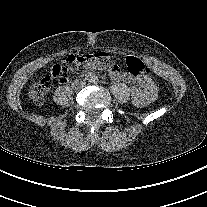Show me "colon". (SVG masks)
I'll use <instances>...</instances> for the list:
<instances>
[{
	"label": "colon",
	"mask_w": 207,
	"mask_h": 207,
	"mask_svg": "<svg viewBox=\"0 0 207 207\" xmlns=\"http://www.w3.org/2000/svg\"><path fill=\"white\" fill-rule=\"evenodd\" d=\"M114 65V59L108 53L98 52L85 55H69L52 67L50 74L37 80L30 88V97L35 105H42L52 86L53 80L71 71L89 66L94 68H108ZM126 68L135 76H145L149 73L147 65L140 59L128 57Z\"/></svg>",
	"instance_id": "colon-1"
}]
</instances>
